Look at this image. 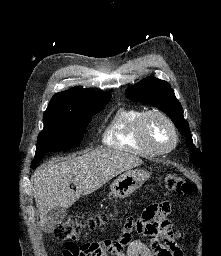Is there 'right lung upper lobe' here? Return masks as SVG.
Instances as JSON below:
<instances>
[{"mask_svg": "<svg viewBox=\"0 0 221 256\" xmlns=\"http://www.w3.org/2000/svg\"><path fill=\"white\" fill-rule=\"evenodd\" d=\"M108 93L97 92L91 89L74 87L69 90L56 93L46 109L45 113L75 111L80 104L92 101L99 97H110Z\"/></svg>", "mask_w": 221, "mask_h": 256, "instance_id": "right-lung-upper-lobe-1", "label": "right lung upper lobe"}]
</instances>
